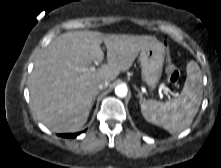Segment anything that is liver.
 Masks as SVG:
<instances>
[{
    "instance_id": "1",
    "label": "liver",
    "mask_w": 221,
    "mask_h": 168,
    "mask_svg": "<svg viewBox=\"0 0 221 168\" xmlns=\"http://www.w3.org/2000/svg\"><path fill=\"white\" fill-rule=\"evenodd\" d=\"M102 42L107 64L90 71L92 62L104 59ZM156 42V37L147 35H105L97 31L61 34L44 49L30 75L34 114L53 132L80 131L98 94V84L115 80L120 71L129 70L138 53Z\"/></svg>"
}]
</instances>
